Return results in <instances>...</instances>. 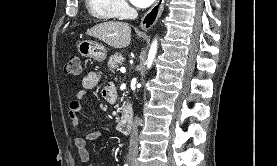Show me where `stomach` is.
Listing matches in <instances>:
<instances>
[{"label":"stomach","instance_id":"0dacf381","mask_svg":"<svg viewBox=\"0 0 277 166\" xmlns=\"http://www.w3.org/2000/svg\"><path fill=\"white\" fill-rule=\"evenodd\" d=\"M78 52L96 61L103 62L107 57V49L104 45L90 40H81L76 43Z\"/></svg>","mask_w":277,"mask_h":166}]
</instances>
